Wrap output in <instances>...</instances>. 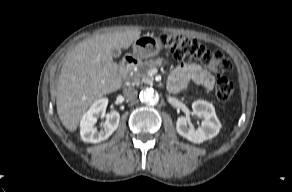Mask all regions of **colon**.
<instances>
[{
    "instance_id": "colon-1",
    "label": "colon",
    "mask_w": 292,
    "mask_h": 192,
    "mask_svg": "<svg viewBox=\"0 0 292 192\" xmlns=\"http://www.w3.org/2000/svg\"><path fill=\"white\" fill-rule=\"evenodd\" d=\"M159 43L177 61L189 64L198 61L205 71L219 76L215 93L219 100L226 101L233 93V83L222 74L232 68L230 59L221 50H210L199 41L173 33H163Z\"/></svg>"
}]
</instances>
